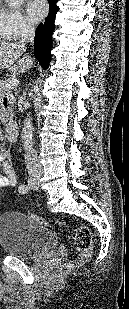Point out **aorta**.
I'll return each mask as SVG.
<instances>
[{
    "mask_svg": "<svg viewBox=\"0 0 129 309\" xmlns=\"http://www.w3.org/2000/svg\"><path fill=\"white\" fill-rule=\"evenodd\" d=\"M6 2L10 7H16L22 2V0H6ZM33 130L32 117L28 114L23 122L22 129L23 147L27 152H31L33 150Z\"/></svg>",
    "mask_w": 129,
    "mask_h": 309,
    "instance_id": "obj_1",
    "label": "aorta"
}]
</instances>
